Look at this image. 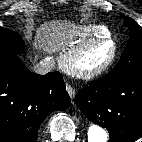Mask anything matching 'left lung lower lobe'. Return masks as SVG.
Masks as SVG:
<instances>
[{"label":"left lung lower lobe","mask_w":142,"mask_h":142,"mask_svg":"<svg viewBox=\"0 0 142 142\" xmlns=\"http://www.w3.org/2000/svg\"><path fill=\"white\" fill-rule=\"evenodd\" d=\"M76 105L109 131L108 142H132L142 135V71L107 74L76 95Z\"/></svg>","instance_id":"0a47b994"}]
</instances>
